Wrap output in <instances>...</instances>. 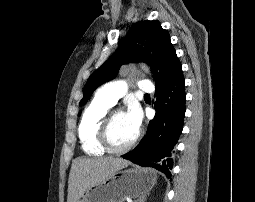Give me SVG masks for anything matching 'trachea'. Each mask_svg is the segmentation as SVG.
Returning <instances> with one entry per match:
<instances>
[{"mask_svg":"<svg viewBox=\"0 0 255 202\" xmlns=\"http://www.w3.org/2000/svg\"><path fill=\"white\" fill-rule=\"evenodd\" d=\"M145 97H150V95L149 94H145Z\"/></svg>","mask_w":255,"mask_h":202,"instance_id":"trachea-1","label":"trachea"}]
</instances>
